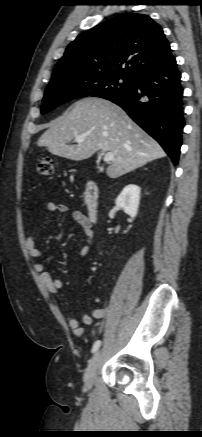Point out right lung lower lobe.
I'll return each instance as SVG.
<instances>
[{"instance_id":"obj_1","label":"right lung lower lobe","mask_w":202,"mask_h":437,"mask_svg":"<svg viewBox=\"0 0 202 437\" xmlns=\"http://www.w3.org/2000/svg\"><path fill=\"white\" fill-rule=\"evenodd\" d=\"M181 73L175 57L134 77L131 88L108 100L119 105L178 163L185 125Z\"/></svg>"}]
</instances>
